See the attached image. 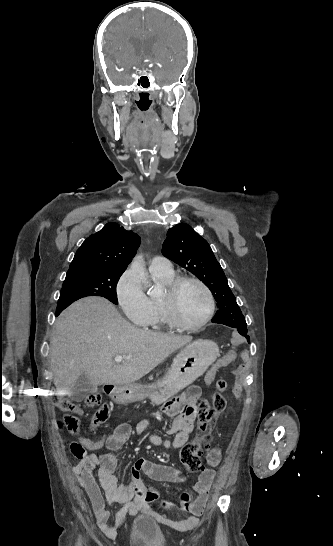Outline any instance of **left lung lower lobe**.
<instances>
[{
	"label": "left lung lower lobe",
	"mask_w": 333,
	"mask_h": 546,
	"mask_svg": "<svg viewBox=\"0 0 333 546\" xmlns=\"http://www.w3.org/2000/svg\"><path fill=\"white\" fill-rule=\"evenodd\" d=\"M212 322L213 323H220V324H224V325H227V326H230L227 322L224 321V319L222 317H218V316H214V318L212 319ZM232 327V326H230ZM234 328V327H233ZM238 330V332L243 335L249 342L250 340V337L247 335V326L246 327H241V328H236Z\"/></svg>",
	"instance_id": "left-lung-lower-lobe-1"
}]
</instances>
